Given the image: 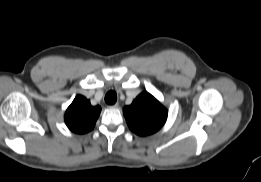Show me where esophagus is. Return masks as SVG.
<instances>
[{
  "instance_id": "obj_1",
  "label": "esophagus",
  "mask_w": 261,
  "mask_h": 182,
  "mask_svg": "<svg viewBox=\"0 0 261 182\" xmlns=\"http://www.w3.org/2000/svg\"><path fill=\"white\" fill-rule=\"evenodd\" d=\"M118 107H119V104H118V103H115V104L109 106V108H118Z\"/></svg>"
}]
</instances>
